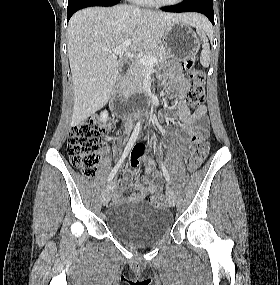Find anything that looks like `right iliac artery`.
I'll return each mask as SVG.
<instances>
[{"mask_svg": "<svg viewBox=\"0 0 280 285\" xmlns=\"http://www.w3.org/2000/svg\"><path fill=\"white\" fill-rule=\"evenodd\" d=\"M140 128H141V123L138 122L137 125L135 126L133 132H132V135L124 149V152L120 158V160L118 161V163L116 164V166L112 169L109 177H108V183L110 181H112V179L114 178L115 174L117 173L118 169L120 168V166L122 165V163L124 162L126 156L128 155L129 151L131 150L134 142L136 141L137 137H138V134L140 132Z\"/></svg>", "mask_w": 280, "mask_h": 285, "instance_id": "right-iliac-artery-1", "label": "right iliac artery"}]
</instances>
